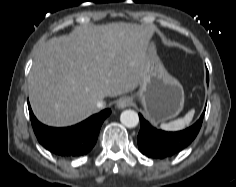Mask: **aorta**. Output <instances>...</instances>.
Wrapping results in <instances>:
<instances>
[{"mask_svg": "<svg viewBox=\"0 0 236 187\" xmlns=\"http://www.w3.org/2000/svg\"><path fill=\"white\" fill-rule=\"evenodd\" d=\"M120 121L128 128L136 127L139 123V116L134 110H125L120 115Z\"/></svg>", "mask_w": 236, "mask_h": 187, "instance_id": "1", "label": "aorta"}]
</instances>
